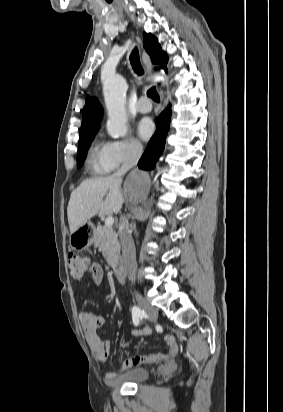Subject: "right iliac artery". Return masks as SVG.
I'll return each mask as SVG.
<instances>
[{"mask_svg":"<svg viewBox=\"0 0 283 412\" xmlns=\"http://www.w3.org/2000/svg\"><path fill=\"white\" fill-rule=\"evenodd\" d=\"M146 317V313L144 310L140 309L137 306L132 308V319L133 323L137 326L139 324V320Z\"/></svg>","mask_w":283,"mask_h":412,"instance_id":"obj_1","label":"right iliac artery"}]
</instances>
